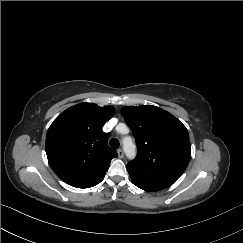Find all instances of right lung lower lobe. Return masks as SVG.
I'll list each match as a JSON object with an SVG mask.
<instances>
[{
	"instance_id": "obj_1",
	"label": "right lung lower lobe",
	"mask_w": 243,
	"mask_h": 243,
	"mask_svg": "<svg viewBox=\"0 0 243 243\" xmlns=\"http://www.w3.org/2000/svg\"><path fill=\"white\" fill-rule=\"evenodd\" d=\"M103 178H104V177H103ZM103 178H101V179H99L98 181H96V182H94V183H92V184L86 186L85 188H89V187L95 186L96 184L100 183V182L103 180Z\"/></svg>"
}]
</instances>
